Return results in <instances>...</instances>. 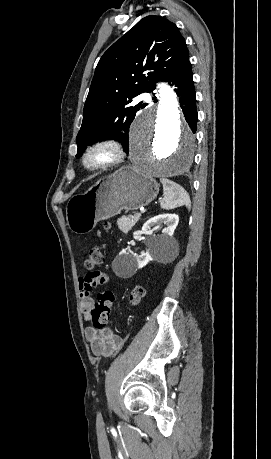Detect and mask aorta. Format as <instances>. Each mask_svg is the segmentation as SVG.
Returning a JSON list of instances; mask_svg holds the SVG:
<instances>
[{
    "instance_id": "obj_1",
    "label": "aorta",
    "mask_w": 271,
    "mask_h": 459,
    "mask_svg": "<svg viewBox=\"0 0 271 459\" xmlns=\"http://www.w3.org/2000/svg\"><path fill=\"white\" fill-rule=\"evenodd\" d=\"M159 103L135 121L129 157L139 174L167 178L188 169L195 152V137L183 121L177 95L166 83L157 86Z\"/></svg>"
}]
</instances>
